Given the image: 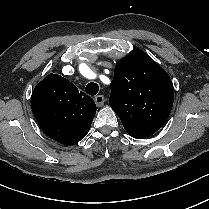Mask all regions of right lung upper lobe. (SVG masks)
Masks as SVG:
<instances>
[{
	"label": "right lung upper lobe",
	"instance_id": "obj_1",
	"mask_svg": "<svg viewBox=\"0 0 209 209\" xmlns=\"http://www.w3.org/2000/svg\"><path fill=\"white\" fill-rule=\"evenodd\" d=\"M31 107L44 133L65 145L87 135L96 113L94 100L57 74H49L36 85Z\"/></svg>",
	"mask_w": 209,
	"mask_h": 209
}]
</instances>
